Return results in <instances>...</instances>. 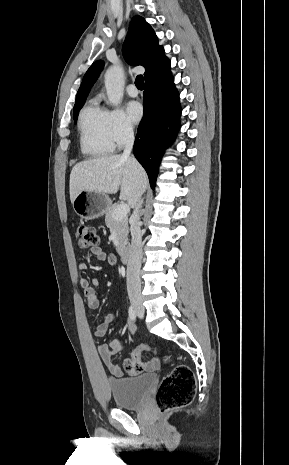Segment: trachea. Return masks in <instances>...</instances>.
Segmentation results:
<instances>
[{
  "mask_svg": "<svg viewBox=\"0 0 289 465\" xmlns=\"http://www.w3.org/2000/svg\"><path fill=\"white\" fill-rule=\"evenodd\" d=\"M135 85L139 90H143L144 88V78L142 75H138L135 80Z\"/></svg>",
  "mask_w": 289,
  "mask_h": 465,
  "instance_id": "3493384b",
  "label": "trachea"
}]
</instances>
